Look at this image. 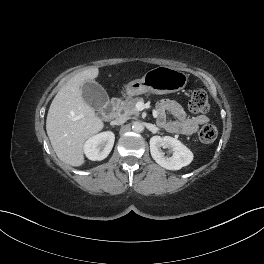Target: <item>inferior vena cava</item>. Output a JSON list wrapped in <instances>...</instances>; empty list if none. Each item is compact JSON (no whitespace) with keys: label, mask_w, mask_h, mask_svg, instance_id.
I'll return each instance as SVG.
<instances>
[{"label":"inferior vena cava","mask_w":264,"mask_h":264,"mask_svg":"<svg viewBox=\"0 0 264 264\" xmlns=\"http://www.w3.org/2000/svg\"><path fill=\"white\" fill-rule=\"evenodd\" d=\"M127 117L124 116H120L118 118H116L115 120L111 121V125H122L126 122Z\"/></svg>","instance_id":"inferior-vena-cava-1"}]
</instances>
